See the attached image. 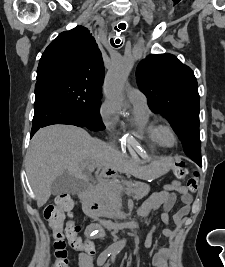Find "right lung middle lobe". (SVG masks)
Masks as SVG:
<instances>
[{"label": "right lung middle lobe", "mask_w": 225, "mask_h": 267, "mask_svg": "<svg viewBox=\"0 0 225 267\" xmlns=\"http://www.w3.org/2000/svg\"><path fill=\"white\" fill-rule=\"evenodd\" d=\"M38 85L49 89L91 131H101L105 126L101 120L100 99L102 90L84 81L62 76H48L37 80Z\"/></svg>", "instance_id": "dd1d6c3e"}]
</instances>
